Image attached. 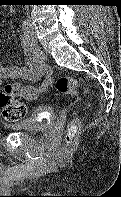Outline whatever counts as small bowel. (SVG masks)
<instances>
[{"instance_id":"small-bowel-1","label":"small bowel","mask_w":121,"mask_h":197,"mask_svg":"<svg viewBox=\"0 0 121 197\" xmlns=\"http://www.w3.org/2000/svg\"><path fill=\"white\" fill-rule=\"evenodd\" d=\"M20 44L25 54V63H16L12 66H5L2 62H0V85L5 79L8 78H24L33 81L42 78L43 81L38 87H31L34 91V96L29 100H33L36 99L39 94L45 92L52 84L51 70L42 61L39 51L34 50L33 46L29 44L25 36H20Z\"/></svg>"}]
</instances>
